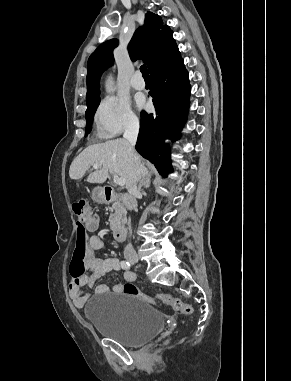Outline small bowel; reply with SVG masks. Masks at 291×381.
<instances>
[{"label":"small bowel","instance_id":"small-bowel-1","mask_svg":"<svg viewBox=\"0 0 291 381\" xmlns=\"http://www.w3.org/2000/svg\"><path fill=\"white\" fill-rule=\"evenodd\" d=\"M105 249V243L99 236H91L88 239L87 248L84 256V265L91 271L90 275H80L74 277L68 286V293L76 308H82L88 298L87 293L84 291L85 286H93L105 273L111 271H119L121 263L119 259L111 258H97L95 251ZM123 280L126 282H133L136 280L134 272H125ZM109 290L107 285L101 284L96 288L97 293H104ZM114 292H122L123 284L117 283L112 288Z\"/></svg>","mask_w":291,"mask_h":381}]
</instances>
